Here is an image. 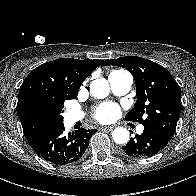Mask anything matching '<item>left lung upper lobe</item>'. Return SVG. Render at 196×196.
Segmentation results:
<instances>
[{
  "label": "left lung upper lobe",
  "instance_id": "5c2ea615",
  "mask_svg": "<svg viewBox=\"0 0 196 196\" xmlns=\"http://www.w3.org/2000/svg\"><path fill=\"white\" fill-rule=\"evenodd\" d=\"M102 65L124 67L135 79L137 102L125 119L151 125L171 139L182 103L179 85L169 71L153 61L137 56L105 60Z\"/></svg>",
  "mask_w": 196,
  "mask_h": 196
}]
</instances>
